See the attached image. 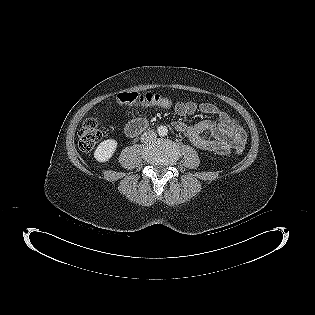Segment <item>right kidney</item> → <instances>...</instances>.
Returning <instances> with one entry per match:
<instances>
[{
  "label": "right kidney",
  "instance_id": "right-kidney-1",
  "mask_svg": "<svg viewBox=\"0 0 315 315\" xmlns=\"http://www.w3.org/2000/svg\"><path fill=\"white\" fill-rule=\"evenodd\" d=\"M117 141L114 139H107L102 141L94 151V158L98 162H107L111 159L117 149Z\"/></svg>",
  "mask_w": 315,
  "mask_h": 315
}]
</instances>
